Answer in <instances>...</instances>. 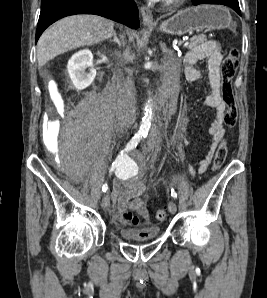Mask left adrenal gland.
Wrapping results in <instances>:
<instances>
[{
    "instance_id": "1",
    "label": "left adrenal gland",
    "mask_w": 267,
    "mask_h": 298,
    "mask_svg": "<svg viewBox=\"0 0 267 298\" xmlns=\"http://www.w3.org/2000/svg\"><path fill=\"white\" fill-rule=\"evenodd\" d=\"M161 48H162V51H163V54L166 55V56H172V52L167 49L166 47V44L165 43H161Z\"/></svg>"
}]
</instances>
